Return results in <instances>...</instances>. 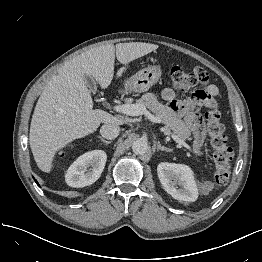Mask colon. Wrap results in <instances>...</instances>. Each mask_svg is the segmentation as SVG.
<instances>
[{"label":"colon","instance_id":"obj_1","mask_svg":"<svg viewBox=\"0 0 262 262\" xmlns=\"http://www.w3.org/2000/svg\"><path fill=\"white\" fill-rule=\"evenodd\" d=\"M170 76L174 88L178 91L186 92L193 88L199 81L205 80L207 73L203 69L190 71L180 66H174L170 71ZM205 120L207 123V132L214 149L215 180L218 184H224L230 175V161L233 157V151L227 143L219 108H207ZM63 156L64 153L61 154V157Z\"/></svg>","mask_w":262,"mask_h":262}]
</instances>
